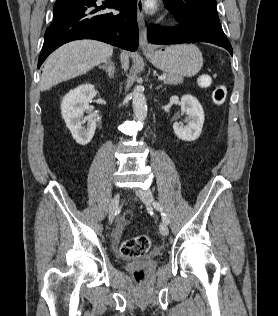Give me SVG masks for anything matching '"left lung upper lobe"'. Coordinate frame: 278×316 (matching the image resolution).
I'll return each mask as SVG.
<instances>
[{
  "mask_svg": "<svg viewBox=\"0 0 278 316\" xmlns=\"http://www.w3.org/2000/svg\"><path fill=\"white\" fill-rule=\"evenodd\" d=\"M175 18L190 26L204 27L225 35L220 25L216 0H163Z\"/></svg>",
  "mask_w": 278,
  "mask_h": 316,
  "instance_id": "1",
  "label": "left lung upper lobe"
}]
</instances>
